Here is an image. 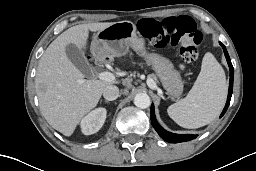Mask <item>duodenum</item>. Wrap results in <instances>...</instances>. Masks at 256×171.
I'll return each instance as SVG.
<instances>
[{
    "instance_id": "1",
    "label": "duodenum",
    "mask_w": 256,
    "mask_h": 171,
    "mask_svg": "<svg viewBox=\"0 0 256 171\" xmlns=\"http://www.w3.org/2000/svg\"><path fill=\"white\" fill-rule=\"evenodd\" d=\"M105 62H106L105 59H97V60H96V64H98V65H102V64H104Z\"/></svg>"
}]
</instances>
